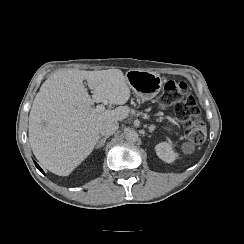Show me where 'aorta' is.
I'll use <instances>...</instances> for the list:
<instances>
[{
    "mask_svg": "<svg viewBox=\"0 0 244 244\" xmlns=\"http://www.w3.org/2000/svg\"><path fill=\"white\" fill-rule=\"evenodd\" d=\"M138 138H139V135L135 130H129L125 134V139L130 143L137 142Z\"/></svg>",
    "mask_w": 244,
    "mask_h": 244,
    "instance_id": "obj_1",
    "label": "aorta"
}]
</instances>
